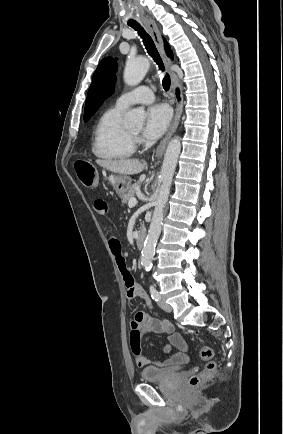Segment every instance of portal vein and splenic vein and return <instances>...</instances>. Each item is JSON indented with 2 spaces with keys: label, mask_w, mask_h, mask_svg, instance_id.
Wrapping results in <instances>:
<instances>
[{
  "label": "portal vein and splenic vein",
  "mask_w": 283,
  "mask_h": 434,
  "mask_svg": "<svg viewBox=\"0 0 283 434\" xmlns=\"http://www.w3.org/2000/svg\"><path fill=\"white\" fill-rule=\"evenodd\" d=\"M137 204L136 198H131L128 202L129 208H133Z\"/></svg>",
  "instance_id": "18ae733b"
}]
</instances>
